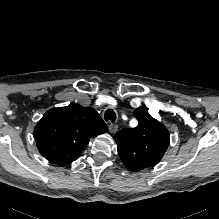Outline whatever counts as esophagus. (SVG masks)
I'll return each instance as SVG.
<instances>
[{
  "label": "esophagus",
  "instance_id": "obj_1",
  "mask_svg": "<svg viewBox=\"0 0 219 219\" xmlns=\"http://www.w3.org/2000/svg\"><path fill=\"white\" fill-rule=\"evenodd\" d=\"M108 129H109L110 133L115 134L118 130V126L116 124L109 123Z\"/></svg>",
  "mask_w": 219,
  "mask_h": 219
}]
</instances>
